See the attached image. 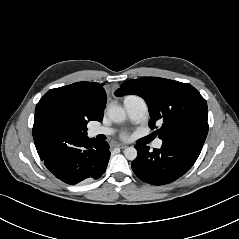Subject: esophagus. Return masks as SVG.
I'll return each mask as SVG.
<instances>
[{
    "label": "esophagus",
    "mask_w": 239,
    "mask_h": 239,
    "mask_svg": "<svg viewBox=\"0 0 239 239\" xmlns=\"http://www.w3.org/2000/svg\"><path fill=\"white\" fill-rule=\"evenodd\" d=\"M116 147H118L120 149H125L127 147V145L122 144V143H118V144H116Z\"/></svg>",
    "instance_id": "34e87169"
}]
</instances>
